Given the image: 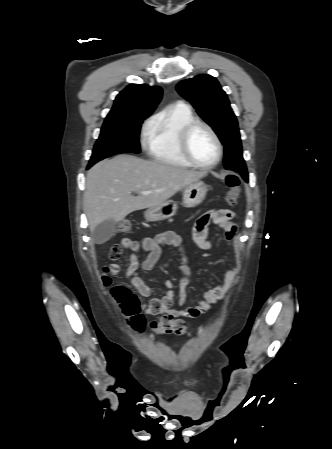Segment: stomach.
Returning a JSON list of instances; mask_svg holds the SVG:
<instances>
[{"label":"stomach","mask_w":332,"mask_h":449,"mask_svg":"<svg viewBox=\"0 0 332 449\" xmlns=\"http://www.w3.org/2000/svg\"><path fill=\"white\" fill-rule=\"evenodd\" d=\"M208 188L202 181H196L185 187L183 191V205L194 208L201 204L206 197ZM177 204L173 200H167L160 205L148 208L144 217L148 222L162 221L176 214Z\"/></svg>","instance_id":"0dacf381"}]
</instances>
